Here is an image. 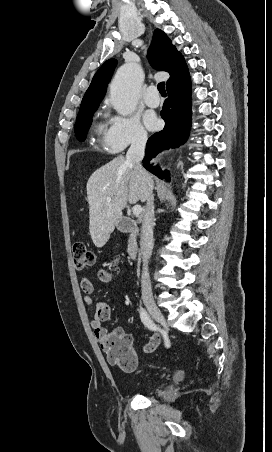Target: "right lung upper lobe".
Instances as JSON below:
<instances>
[{
    "label": "right lung upper lobe",
    "mask_w": 272,
    "mask_h": 452,
    "mask_svg": "<svg viewBox=\"0 0 272 452\" xmlns=\"http://www.w3.org/2000/svg\"><path fill=\"white\" fill-rule=\"evenodd\" d=\"M148 59L155 69L166 71L170 74V78L167 81V90L189 77L183 56L172 45L168 36L159 29L154 32L152 44L148 51ZM116 63L115 59H109L96 72L85 93L81 107L100 104L105 96L107 84L111 79Z\"/></svg>",
    "instance_id": "right-lung-upper-lobe-1"
}]
</instances>
